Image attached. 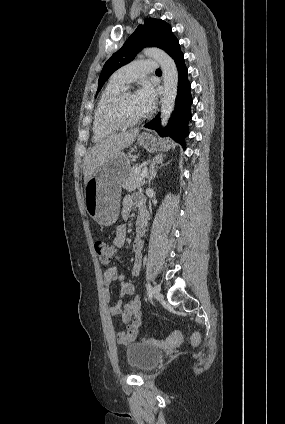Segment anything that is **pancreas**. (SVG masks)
Returning a JSON list of instances; mask_svg holds the SVG:
<instances>
[{
    "label": "pancreas",
    "mask_w": 285,
    "mask_h": 424,
    "mask_svg": "<svg viewBox=\"0 0 285 424\" xmlns=\"http://www.w3.org/2000/svg\"><path fill=\"white\" fill-rule=\"evenodd\" d=\"M141 167L142 165L136 166L130 170L129 175L122 183L123 189H126L128 192H132L146 183L145 179L141 181L139 180Z\"/></svg>",
    "instance_id": "1"
}]
</instances>
